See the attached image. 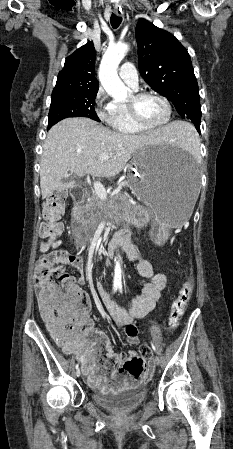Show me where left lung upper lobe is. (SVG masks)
Returning a JSON list of instances; mask_svg holds the SVG:
<instances>
[{
  "instance_id": "left-lung-upper-lobe-1",
  "label": "left lung upper lobe",
  "mask_w": 233,
  "mask_h": 449,
  "mask_svg": "<svg viewBox=\"0 0 233 449\" xmlns=\"http://www.w3.org/2000/svg\"><path fill=\"white\" fill-rule=\"evenodd\" d=\"M138 63L150 87L172 101L183 118L200 131V96L186 48L171 33L140 19L136 26Z\"/></svg>"
}]
</instances>
